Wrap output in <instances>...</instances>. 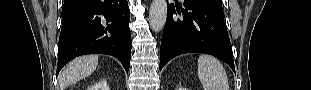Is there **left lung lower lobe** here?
<instances>
[{
    "instance_id": "obj_1",
    "label": "left lung lower lobe",
    "mask_w": 311,
    "mask_h": 90,
    "mask_svg": "<svg viewBox=\"0 0 311 90\" xmlns=\"http://www.w3.org/2000/svg\"><path fill=\"white\" fill-rule=\"evenodd\" d=\"M184 6L182 11L176 6L178 14H183L177 17L174 5H167L159 69L177 55L199 52L218 57L235 72L223 11L198 0H184Z\"/></svg>"
}]
</instances>
